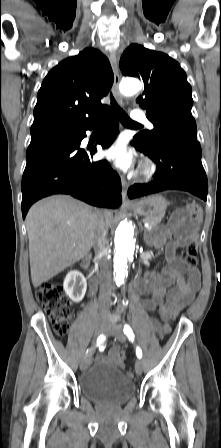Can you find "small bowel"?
Returning a JSON list of instances; mask_svg holds the SVG:
<instances>
[{
	"label": "small bowel",
	"mask_w": 221,
	"mask_h": 448,
	"mask_svg": "<svg viewBox=\"0 0 221 448\" xmlns=\"http://www.w3.org/2000/svg\"><path fill=\"white\" fill-rule=\"evenodd\" d=\"M194 230L185 228L173 222L168 223L152 235L151 242L156 248H165L167 267L161 275H148L147 283H142L140 289L148 297L143 301L147 310H156L160 321L152 319V325L160 336L170 332V326L163 324L174 319L194 299L200 287V272L197 267H189L177 255V250L184 248L189 242L195 241ZM117 366L124 364V355L118 347H113L107 356ZM96 362L104 361L102 356L95 357Z\"/></svg>",
	"instance_id": "small-bowel-1"
}]
</instances>
